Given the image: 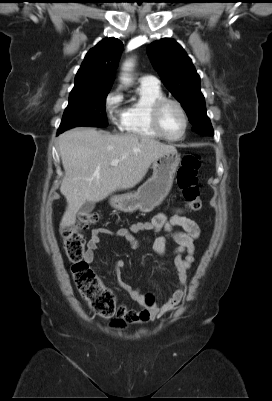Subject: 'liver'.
Wrapping results in <instances>:
<instances>
[{
  "label": "liver",
  "mask_w": 272,
  "mask_h": 401,
  "mask_svg": "<svg viewBox=\"0 0 272 401\" xmlns=\"http://www.w3.org/2000/svg\"><path fill=\"white\" fill-rule=\"evenodd\" d=\"M59 152L65 176L60 192L67 207L60 231L75 224L76 214L86 202H99L117 190L136 186L150 165L160 156L177 152L149 137L112 135L91 127H77L62 133ZM115 159L117 166H111Z\"/></svg>",
  "instance_id": "liver-1"
}]
</instances>
